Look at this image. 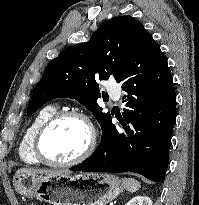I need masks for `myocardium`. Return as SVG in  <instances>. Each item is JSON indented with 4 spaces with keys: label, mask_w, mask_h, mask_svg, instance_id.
<instances>
[{
    "label": "myocardium",
    "mask_w": 199,
    "mask_h": 205,
    "mask_svg": "<svg viewBox=\"0 0 199 205\" xmlns=\"http://www.w3.org/2000/svg\"><path fill=\"white\" fill-rule=\"evenodd\" d=\"M65 118H77L81 120L88 130V141L83 151L76 157L67 161H54L48 159L42 150V139L46 132L58 121ZM96 146V130L90 118L78 110H62L53 114L36 132L33 140V153L39 162L53 167H69L78 164L88 158Z\"/></svg>",
    "instance_id": "f54148a6"
}]
</instances>
